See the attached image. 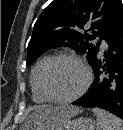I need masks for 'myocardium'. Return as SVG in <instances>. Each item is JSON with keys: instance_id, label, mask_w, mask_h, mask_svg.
Masks as SVG:
<instances>
[{"instance_id": "f54148a6", "label": "myocardium", "mask_w": 123, "mask_h": 130, "mask_svg": "<svg viewBox=\"0 0 123 130\" xmlns=\"http://www.w3.org/2000/svg\"><path fill=\"white\" fill-rule=\"evenodd\" d=\"M61 60L75 61L82 67V69L84 70L85 75H86L85 82H84L83 86L80 88V90L73 96H70L67 98L57 96L51 89L50 83H49V76H50V72H51L52 68L55 66V64L57 62H59ZM91 82H92V72H91L89 66L85 63V61L83 59H81L79 56L72 54V53H60V54L53 56L49 60V62L46 64V66L42 72V77H41L42 89H43L45 95L51 101H54L57 103H62V104L72 103V102L76 101L77 99H79L81 96H83L85 94V92L88 90V88L90 87Z\"/></svg>"}]
</instances>
